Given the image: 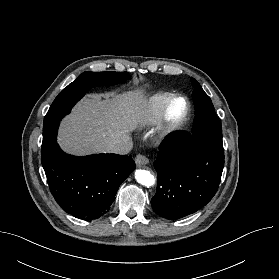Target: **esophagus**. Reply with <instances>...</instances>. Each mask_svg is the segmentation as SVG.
Returning <instances> with one entry per match:
<instances>
[{
  "instance_id": "34e87169",
  "label": "esophagus",
  "mask_w": 279,
  "mask_h": 279,
  "mask_svg": "<svg viewBox=\"0 0 279 279\" xmlns=\"http://www.w3.org/2000/svg\"><path fill=\"white\" fill-rule=\"evenodd\" d=\"M135 163L138 167H141L143 165H146L149 163V159L142 155V154H138L136 157H135Z\"/></svg>"
}]
</instances>
